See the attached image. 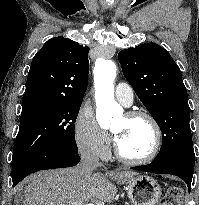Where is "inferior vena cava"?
I'll return each mask as SVG.
<instances>
[{
	"mask_svg": "<svg viewBox=\"0 0 199 205\" xmlns=\"http://www.w3.org/2000/svg\"><path fill=\"white\" fill-rule=\"evenodd\" d=\"M101 167L98 154L90 149H84L81 151V161L79 164V170L85 177H90L94 174V171Z\"/></svg>",
	"mask_w": 199,
	"mask_h": 205,
	"instance_id": "602c4592",
	"label": "inferior vena cava"
}]
</instances>
